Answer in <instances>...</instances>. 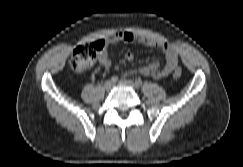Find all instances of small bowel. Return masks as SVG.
I'll list each match as a JSON object with an SVG mask.
<instances>
[{"label":"small bowel","mask_w":243,"mask_h":167,"mask_svg":"<svg viewBox=\"0 0 243 167\" xmlns=\"http://www.w3.org/2000/svg\"><path fill=\"white\" fill-rule=\"evenodd\" d=\"M117 42L141 43L148 47L158 48L162 50L165 55V63L163 66H161L159 62H154L152 64L139 67L135 71H129L124 75V77H128L135 72H139L145 76H152L154 78L161 79L171 74L177 67V52L167 42L139 36L130 31H119L113 37L105 40L104 48L98 54V62L105 69L110 68L112 64L109 57V48ZM123 58L127 61H132L134 59V54L132 51H126L123 54Z\"/></svg>","instance_id":"1"}]
</instances>
